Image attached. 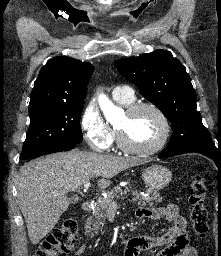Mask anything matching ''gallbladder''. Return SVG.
I'll return each mask as SVG.
<instances>
[{"instance_id": "bac80fb5", "label": "gallbladder", "mask_w": 221, "mask_h": 256, "mask_svg": "<svg viewBox=\"0 0 221 256\" xmlns=\"http://www.w3.org/2000/svg\"><path fill=\"white\" fill-rule=\"evenodd\" d=\"M78 202V197L77 196H74L71 198V203L75 204Z\"/></svg>"}]
</instances>
